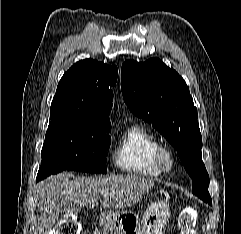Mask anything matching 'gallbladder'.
Segmentation results:
<instances>
[{
	"label": "gallbladder",
	"mask_w": 241,
	"mask_h": 234,
	"mask_svg": "<svg viewBox=\"0 0 241 234\" xmlns=\"http://www.w3.org/2000/svg\"><path fill=\"white\" fill-rule=\"evenodd\" d=\"M73 211H74V213H77V212H78V210H77L76 208H74V210H73Z\"/></svg>",
	"instance_id": "1"
}]
</instances>
